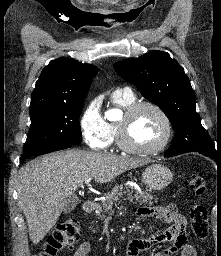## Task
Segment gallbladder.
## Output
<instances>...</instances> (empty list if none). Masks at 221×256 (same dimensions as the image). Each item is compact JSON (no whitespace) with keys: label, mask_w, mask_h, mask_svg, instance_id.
Instances as JSON below:
<instances>
[{"label":"gallbladder","mask_w":221,"mask_h":256,"mask_svg":"<svg viewBox=\"0 0 221 256\" xmlns=\"http://www.w3.org/2000/svg\"><path fill=\"white\" fill-rule=\"evenodd\" d=\"M79 203V199L77 196H71L67 200V203L63 209L64 214L70 213Z\"/></svg>","instance_id":"bac80fb5"}]
</instances>
